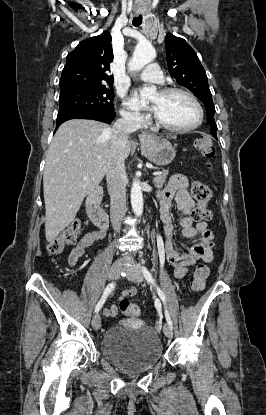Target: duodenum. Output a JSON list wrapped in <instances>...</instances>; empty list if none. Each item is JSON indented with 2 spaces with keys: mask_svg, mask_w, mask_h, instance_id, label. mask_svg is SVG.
<instances>
[{
  "mask_svg": "<svg viewBox=\"0 0 266 415\" xmlns=\"http://www.w3.org/2000/svg\"><path fill=\"white\" fill-rule=\"evenodd\" d=\"M102 194V188H95L87 198L86 208L88 216L93 224L101 230H106L109 225V217L100 206Z\"/></svg>",
  "mask_w": 266,
  "mask_h": 415,
  "instance_id": "duodenum-1",
  "label": "duodenum"
}]
</instances>
